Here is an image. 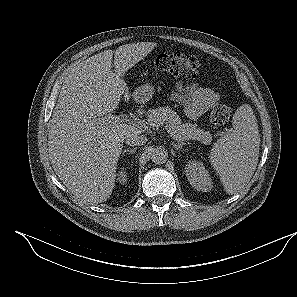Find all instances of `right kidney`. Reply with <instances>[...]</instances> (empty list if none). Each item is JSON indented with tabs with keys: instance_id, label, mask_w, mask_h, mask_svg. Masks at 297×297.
Segmentation results:
<instances>
[{
	"instance_id": "1",
	"label": "right kidney",
	"mask_w": 297,
	"mask_h": 297,
	"mask_svg": "<svg viewBox=\"0 0 297 297\" xmlns=\"http://www.w3.org/2000/svg\"><path fill=\"white\" fill-rule=\"evenodd\" d=\"M118 178L117 180L119 181V183L121 184H125L127 181V175H126V171L124 170V168H122L119 172H118Z\"/></svg>"
}]
</instances>
